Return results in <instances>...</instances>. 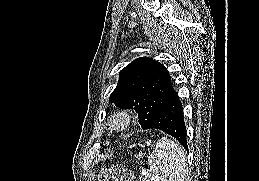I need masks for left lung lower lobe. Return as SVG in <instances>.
I'll return each instance as SVG.
<instances>
[{"instance_id": "left-lung-lower-lobe-1", "label": "left lung lower lobe", "mask_w": 259, "mask_h": 181, "mask_svg": "<svg viewBox=\"0 0 259 181\" xmlns=\"http://www.w3.org/2000/svg\"><path fill=\"white\" fill-rule=\"evenodd\" d=\"M144 129L162 130L176 138L188 151L182 104L175 90L164 101L154 119Z\"/></svg>"}]
</instances>
